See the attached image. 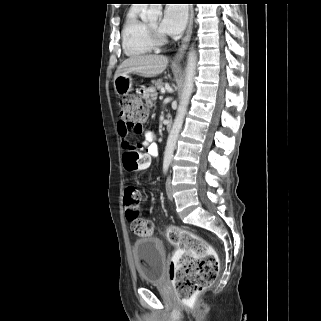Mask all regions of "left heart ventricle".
Listing matches in <instances>:
<instances>
[{
  "instance_id": "left-heart-ventricle-1",
  "label": "left heart ventricle",
  "mask_w": 321,
  "mask_h": 321,
  "mask_svg": "<svg viewBox=\"0 0 321 321\" xmlns=\"http://www.w3.org/2000/svg\"><path fill=\"white\" fill-rule=\"evenodd\" d=\"M153 28H155L157 31L161 32L159 30V21L158 20H155V21H152L149 23Z\"/></svg>"
}]
</instances>
